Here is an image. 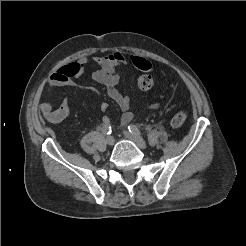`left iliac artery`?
Masks as SVG:
<instances>
[{
	"mask_svg": "<svg viewBox=\"0 0 246 246\" xmlns=\"http://www.w3.org/2000/svg\"><path fill=\"white\" fill-rule=\"evenodd\" d=\"M128 130H129L132 134L140 135V130H139L135 125L130 124V125L128 126Z\"/></svg>",
	"mask_w": 246,
	"mask_h": 246,
	"instance_id": "44dca946",
	"label": "left iliac artery"
}]
</instances>
